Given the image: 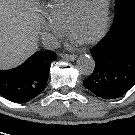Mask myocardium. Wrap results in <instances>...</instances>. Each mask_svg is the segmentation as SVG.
<instances>
[{
  "instance_id": "1",
  "label": "myocardium",
  "mask_w": 135,
  "mask_h": 135,
  "mask_svg": "<svg viewBox=\"0 0 135 135\" xmlns=\"http://www.w3.org/2000/svg\"><path fill=\"white\" fill-rule=\"evenodd\" d=\"M86 3H87V0H81L77 9L72 14V16L69 18V20L65 26L66 33L69 37H71L70 32H71V28H72L73 24L76 21H78L85 13ZM110 8H111V0H106L103 15H102V22H101V26H100L98 32L93 37H91L89 40L83 42L82 43L83 45L95 44V43L99 42L106 35V33L108 31V27H109Z\"/></svg>"
}]
</instances>
